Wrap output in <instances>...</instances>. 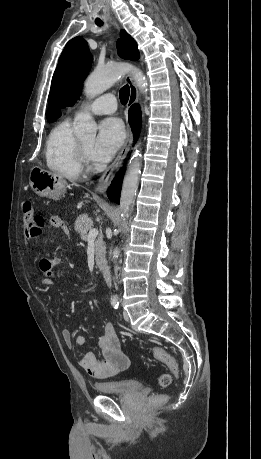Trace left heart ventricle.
I'll list each match as a JSON object with an SVG mask.
<instances>
[{
  "label": "left heart ventricle",
  "mask_w": 261,
  "mask_h": 459,
  "mask_svg": "<svg viewBox=\"0 0 261 459\" xmlns=\"http://www.w3.org/2000/svg\"><path fill=\"white\" fill-rule=\"evenodd\" d=\"M80 142L82 143V145L84 146L86 151L89 154H91V151H92L93 145H94V139L93 138H86V139L80 140Z\"/></svg>",
  "instance_id": "b2bd125f"
}]
</instances>
